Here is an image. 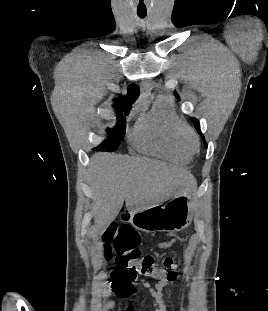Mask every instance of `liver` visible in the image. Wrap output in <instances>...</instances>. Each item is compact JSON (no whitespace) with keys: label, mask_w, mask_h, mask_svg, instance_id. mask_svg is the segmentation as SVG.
Listing matches in <instances>:
<instances>
[{"label":"liver","mask_w":268,"mask_h":311,"mask_svg":"<svg viewBox=\"0 0 268 311\" xmlns=\"http://www.w3.org/2000/svg\"><path fill=\"white\" fill-rule=\"evenodd\" d=\"M94 194V230L102 233L125 201L129 212L160 205L185 192L193 176L183 168L149 158L96 153L88 168Z\"/></svg>","instance_id":"obj_1"}]
</instances>
